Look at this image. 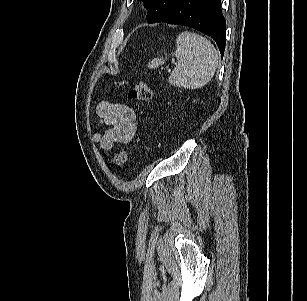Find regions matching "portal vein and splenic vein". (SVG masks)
Masks as SVG:
<instances>
[{
  "label": "portal vein and splenic vein",
  "mask_w": 307,
  "mask_h": 301,
  "mask_svg": "<svg viewBox=\"0 0 307 301\" xmlns=\"http://www.w3.org/2000/svg\"><path fill=\"white\" fill-rule=\"evenodd\" d=\"M167 72H170V69H167Z\"/></svg>",
  "instance_id": "portal-vein-and-splenic-vein-1"
}]
</instances>
